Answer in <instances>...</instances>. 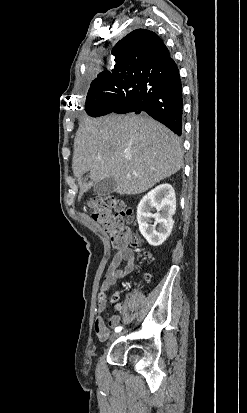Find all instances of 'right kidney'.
Returning a JSON list of instances; mask_svg holds the SVG:
<instances>
[{"mask_svg": "<svg viewBox=\"0 0 247 413\" xmlns=\"http://www.w3.org/2000/svg\"><path fill=\"white\" fill-rule=\"evenodd\" d=\"M151 211H157V213L153 215ZM175 211L176 194L173 186L168 182L158 184L141 198L137 207V221L139 231L149 245L158 247L166 241L173 229L174 221L172 217ZM151 223H154V225H151Z\"/></svg>", "mask_w": 247, "mask_h": 413, "instance_id": "1", "label": "right kidney"}]
</instances>
